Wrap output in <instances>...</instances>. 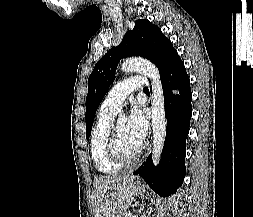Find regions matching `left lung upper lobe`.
I'll list each match as a JSON object with an SVG mask.
<instances>
[{"label": "left lung upper lobe", "mask_w": 253, "mask_h": 217, "mask_svg": "<svg viewBox=\"0 0 253 217\" xmlns=\"http://www.w3.org/2000/svg\"><path fill=\"white\" fill-rule=\"evenodd\" d=\"M177 55L171 41L161 29L148 20H137L132 31H128L117 47L110 49L95 65L88 79L86 97V138L91 134L97 108L109 86L115 79V71L120 59L141 56L149 59L159 72Z\"/></svg>", "instance_id": "5c2ea615"}]
</instances>
